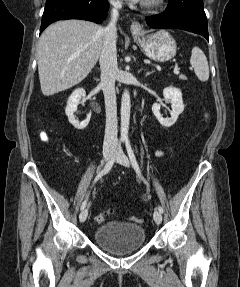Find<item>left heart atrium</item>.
I'll return each mask as SVG.
<instances>
[{
    "label": "left heart atrium",
    "mask_w": 240,
    "mask_h": 287,
    "mask_svg": "<svg viewBox=\"0 0 240 287\" xmlns=\"http://www.w3.org/2000/svg\"><path fill=\"white\" fill-rule=\"evenodd\" d=\"M127 1L139 2V1H142V0H127Z\"/></svg>",
    "instance_id": "left-heart-atrium-1"
}]
</instances>
